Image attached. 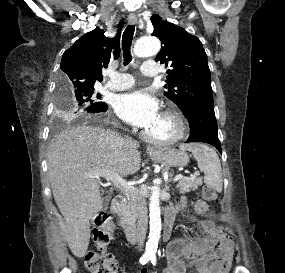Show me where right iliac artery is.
Segmentation results:
<instances>
[{"mask_svg": "<svg viewBox=\"0 0 285 273\" xmlns=\"http://www.w3.org/2000/svg\"><path fill=\"white\" fill-rule=\"evenodd\" d=\"M149 260H150V256H149V255H143V256L140 258L139 262H140V264L144 265V264H146Z\"/></svg>", "mask_w": 285, "mask_h": 273, "instance_id": "obj_1", "label": "right iliac artery"}]
</instances>
